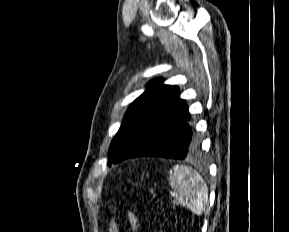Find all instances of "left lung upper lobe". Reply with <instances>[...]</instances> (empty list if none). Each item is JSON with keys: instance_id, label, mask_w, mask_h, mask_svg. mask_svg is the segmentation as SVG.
Returning a JSON list of instances; mask_svg holds the SVG:
<instances>
[{"instance_id": "1", "label": "left lung upper lobe", "mask_w": 289, "mask_h": 232, "mask_svg": "<svg viewBox=\"0 0 289 232\" xmlns=\"http://www.w3.org/2000/svg\"><path fill=\"white\" fill-rule=\"evenodd\" d=\"M178 93V87L163 85L161 79L150 82L149 88L131 104L125 114L111 143L109 162L119 163L125 160L172 121L185 104Z\"/></svg>"}]
</instances>
